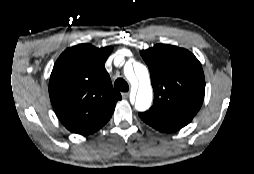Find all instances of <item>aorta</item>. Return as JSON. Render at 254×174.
<instances>
[{"mask_svg": "<svg viewBox=\"0 0 254 174\" xmlns=\"http://www.w3.org/2000/svg\"><path fill=\"white\" fill-rule=\"evenodd\" d=\"M124 73L130 82L137 80L139 83L135 100L136 110L140 112L148 110L152 104L153 90L146 66L138 62L133 67L126 65Z\"/></svg>", "mask_w": 254, "mask_h": 174, "instance_id": "762f6f07", "label": "aorta"}]
</instances>
